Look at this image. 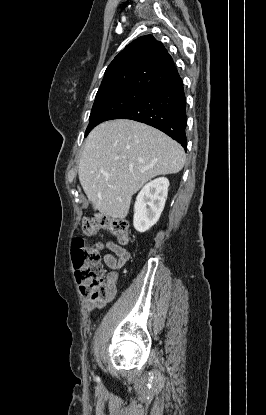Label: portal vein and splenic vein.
Instances as JSON below:
<instances>
[{
  "label": "portal vein and splenic vein",
  "instance_id": "portal-vein-and-splenic-vein-1",
  "mask_svg": "<svg viewBox=\"0 0 266 415\" xmlns=\"http://www.w3.org/2000/svg\"><path fill=\"white\" fill-rule=\"evenodd\" d=\"M106 176H107V177H109V176H110V174H106Z\"/></svg>",
  "mask_w": 266,
  "mask_h": 415
}]
</instances>
